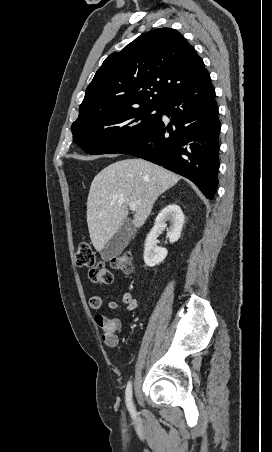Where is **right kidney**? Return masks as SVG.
<instances>
[{"label": "right kidney", "mask_w": 272, "mask_h": 452, "mask_svg": "<svg viewBox=\"0 0 272 452\" xmlns=\"http://www.w3.org/2000/svg\"><path fill=\"white\" fill-rule=\"evenodd\" d=\"M167 221L170 222L169 228H167ZM183 223L184 214L180 206L176 204H170L162 209V211L156 217L154 226L146 238L144 247V262L147 266L153 267L159 264L166 258L168 254L166 248L157 246V232L160 229H166L169 242L174 243L180 238Z\"/></svg>", "instance_id": "obj_1"}]
</instances>
